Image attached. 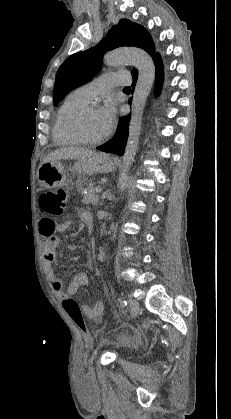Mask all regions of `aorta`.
I'll list each match as a JSON object with an SVG mask.
<instances>
[{"label": "aorta", "mask_w": 231, "mask_h": 419, "mask_svg": "<svg viewBox=\"0 0 231 419\" xmlns=\"http://www.w3.org/2000/svg\"><path fill=\"white\" fill-rule=\"evenodd\" d=\"M104 63L118 66L131 63L138 70V79L133 92L129 134L123 155V167L119 182L122 183L134 162L142 128L143 112L155 80V65L152 58L140 49H116L107 53Z\"/></svg>", "instance_id": "1"}]
</instances>
